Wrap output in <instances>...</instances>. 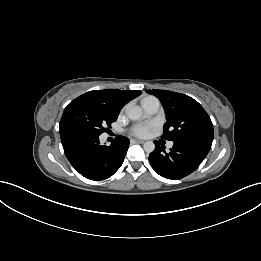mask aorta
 Listing matches in <instances>:
<instances>
[{"label": "aorta", "instance_id": "aorta-1", "mask_svg": "<svg viewBox=\"0 0 261 261\" xmlns=\"http://www.w3.org/2000/svg\"><path fill=\"white\" fill-rule=\"evenodd\" d=\"M126 113L131 120H138L142 117L143 110L140 106H133ZM143 148L145 152L151 153L155 149V144L152 141H147L144 143Z\"/></svg>", "mask_w": 261, "mask_h": 261}]
</instances>
